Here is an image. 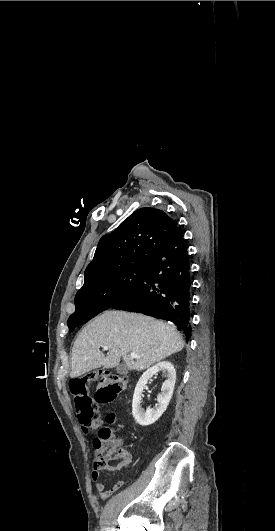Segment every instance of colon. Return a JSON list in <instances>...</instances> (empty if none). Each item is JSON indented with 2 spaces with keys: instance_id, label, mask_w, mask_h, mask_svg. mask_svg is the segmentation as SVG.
<instances>
[{
  "instance_id": "obj_1",
  "label": "colon",
  "mask_w": 275,
  "mask_h": 531,
  "mask_svg": "<svg viewBox=\"0 0 275 531\" xmlns=\"http://www.w3.org/2000/svg\"><path fill=\"white\" fill-rule=\"evenodd\" d=\"M92 381L98 385L95 390V397L92 396ZM126 387V380L123 376L111 373L107 369L99 372H89L83 375L72 376V401L77 409V422L86 424L91 428L102 420L98 413L96 403H106L113 401ZM110 425L102 427L98 433V444L103 447L102 458L99 462L101 469L113 470L121 465L122 448L119 438H114L115 414L109 413ZM122 482L119 481L116 487L119 488Z\"/></svg>"
}]
</instances>
